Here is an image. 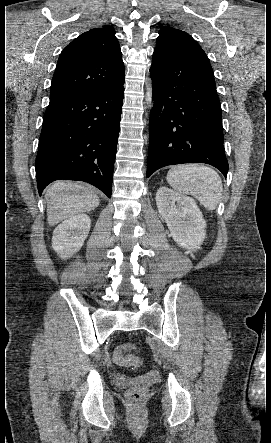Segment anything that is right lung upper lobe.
Here are the masks:
<instances>
[{"label":"right lung upper lobe","instance_id":"1","mask_svg":"<svg viewBox=\"0 0 271 443\" xmlns=\"http://www.w3.org/2000/svg\"><path fill=\"white\" fill-rule=\"evenodd\" d=\"M124 82V64L115 30L91 29L67 45L59 56L50 99L115 87Z\"/></svg>","mask_w":271,"mask_h":443}]
</instances>
